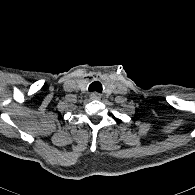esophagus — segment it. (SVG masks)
<instances>
[{
    "instance_id": "esophagus-1",
    "label": "esophagus",
    "mask_w": 195,
    "mask_h": 195,
    "mask_svg": "<svg viewBox=\"0 0 195 195\" xmlns=\"http://www.w3.org/2000/svg\"><path fill=\"white\" fill-rule=\"evenodd\" d=\"M91 98L92 99H100L101 98V95L100 94H98V93H96V92H94V93H91Z\"/></svg>"
}]
</instances>
